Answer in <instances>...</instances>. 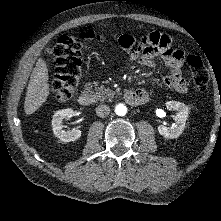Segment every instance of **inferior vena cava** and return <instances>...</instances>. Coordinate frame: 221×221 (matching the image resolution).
<instances>
[{
	"mask_svg": "<svg viewBox=\"0 0 221 221\" xmlns=\"http://www.w3.org/2000/svg\"><path fill=\"white\" fill-rule=\"evenodd\" d=\"M109 113H110V108L107 105H99L96 108V114L99 117H102V118L106 117L109 115Z\"/></svg>",
	"mask_w": 221,
	"mask_h": 221,
	"instance_id": "obj_1",
	"label": "inferior vena cava"
}]
</instances>
